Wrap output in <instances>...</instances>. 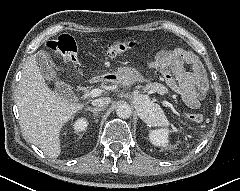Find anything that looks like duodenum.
I'll return each mask as SVG.
<instances>
[{"instance_id":"duodenum-1","label":"duodenum","mask_w":240,"mask_h":191,"mask_svg":"<svg viewBox=\"0 0 240 191\" xmlns=\"http://www.w3.org/2000/svg\"><path fill=\"white\" fill-rule=\"evenodd\" d=\"M115 80V77L112 75H103L101 77H95L90 80V84H94L100 81H105V82H113Z\"/></svg>"}]
</instances>
